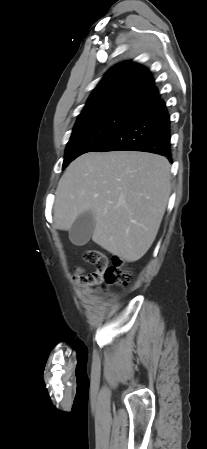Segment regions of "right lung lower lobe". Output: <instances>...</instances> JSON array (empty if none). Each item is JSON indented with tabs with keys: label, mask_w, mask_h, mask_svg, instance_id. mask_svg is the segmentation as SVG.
<instances>
[{
	"label": "right lung lower lobe",
	"mask_w": 207,
	"mask_h": 449,
	"mask_svg": "<svg viewBox=\"0 0 207 449\" xmlns=\"http://www.w3.org/2000/svg\"><path fill=\"white\" fill-rule=\"evenodd\" d=\"M144 151L172 161L170 118L161 99L138 110L131 119L92 151Z\"/></svg>",
	"instance_id": "obj_1"
}]
</instances>
